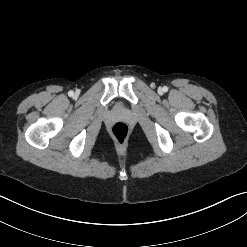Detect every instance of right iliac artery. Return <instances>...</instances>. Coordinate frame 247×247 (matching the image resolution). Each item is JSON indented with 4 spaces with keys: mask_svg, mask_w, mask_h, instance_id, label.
<instances>
[{
    "mask_svg": "<svg viewBox=\"0 0 247 247\" xmlns=\"http://www.w3.org/2000/svg\"><path fill=\"white\" fill-rule=\"evenodd\" d=\"M73 94H74L73 91H69V92H68V95H69V96H73Z\"/></svg>",
    "mask_w": 247,
    "mask_h": 247,
    "instance_id": "82829eb1",
    "label": "right iliac artery"
}]
</instances>
